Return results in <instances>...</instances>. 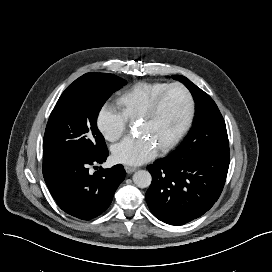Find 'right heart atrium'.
<instances>
[{"label": "right heart atrium", "instance_id": "right-heart-atrium-1", "mask_svg": "<svg viewBox=\"0 0 272 272\" xmlns=\"http://www.w3.org/2000/svg\"><path fill=\"white\" fill-rule=\"evenodd\" d=\"M95 126L105 140L115 142L126 132L127 118L121 110L106 102L96 113Z\"/></svg>", "mask_w": 272, "mask_h": 272}]
</instances>
